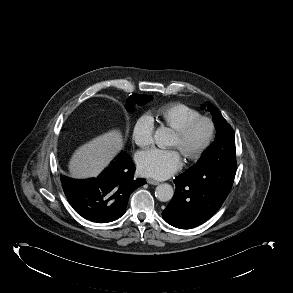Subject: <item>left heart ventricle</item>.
<instances>
[{"mask_svg":"<svg viewBox=\"0 0 293 293\" xmlns=\"http://www.w3.org/2000/svg\"><path fill=\"white\" fill-rule=\"evenodd\" d=\"M208 134L206 124L199 125L186 141H181L177 135L174 136L172 145L180 150H195L202 145Z\"/></svg>","mask_w":293,"mask_h":293,"instance_id":"obj_1","label":"left heart ventricle"}]
</instances>
